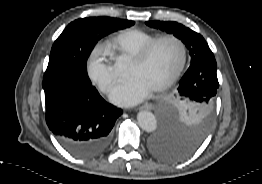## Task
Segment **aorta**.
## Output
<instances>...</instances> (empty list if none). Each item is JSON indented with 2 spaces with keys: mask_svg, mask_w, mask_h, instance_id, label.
I'll use <instances>...</instances> for the list:
<instances>
[{
  "mask_svg": "<svg viewBox=\"0 0 262 184\" xmlns=\"http://www.w3.org/2000/svg\"><path fill=\"white\" fill-rule=\"evenodd\" d=\"M139 126L146 132L151 133L156 130L157 122L153 113L149 111H140L137 115Z\"/></svg>",
  "mask_w": 262,
  "mask_h": 184,
  "instance_id": "762f6f07",
  "label": "aorta"
}]
</instances>
